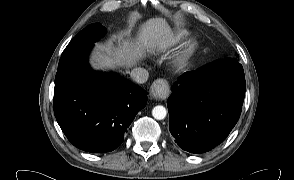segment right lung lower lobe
Instances as JSON below:
<instances>
[{
  "mask_svg": "<svg viewBox=\"0 0 294 180\" xmlns=\"http://www.w3.org/2000/svg\"><path fill=\"white\" fill-rule=\"evenodd\" d=\"M92 48L62 54L55 76L54 113L68 140L88 152H110L147 104V92L114 73L93 72Z\"/></svg>",
  "mask_w": 294,
  "mask_h": 180,
  "instance_id": "right-lung-lower-lobe-1",
  "label": "right lung lower lobe"
}]
</instances>
